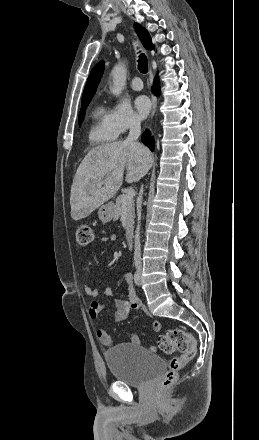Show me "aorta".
<instances>
[{
  "label": "aorta",
  "instance_id": "aorta-1",
  "mask_svg": "<svg viewBox=\"0 0 259 440\" xmlns=\"http://www.w3.org/2000/svg\"><path fill=\"white\" fill-rule=\"evenodd\" d=\"M126 67L124 64L119 63L114 66L112 69V78H113V84L110 87V91L115 96H119L126 84Z\"/></svg>",
  "mask_w": 259,
  "mask_h": 440
}]
</instances>
